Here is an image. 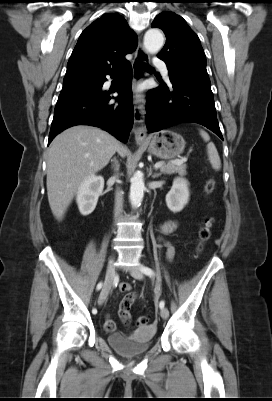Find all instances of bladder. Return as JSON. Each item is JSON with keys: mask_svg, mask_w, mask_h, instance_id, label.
Returning a JSON list of instances; mask_svg holds the SVG:
<instances>
[{"mask_svg": "<svg viewBox=\"0 0 272 401\" xmlns=\"http://www.w3.org/2000/svg\"><path fill=\"white\" fill-rule=\"evenodd\" d=\"M156 333L154 326H142L132 334L111 333L108 335V343L111 348L127 357L138 356L149 351L151 340Z\"/></svg>", "mask_w": 272, "mask_h": 401, "instance_id": "1", "label": "bladder"}]
</instances>
